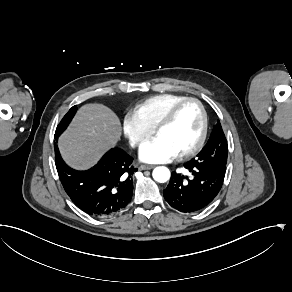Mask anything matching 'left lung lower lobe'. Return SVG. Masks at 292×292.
I'll list each match as a JSON object with an SVG mask.
<instances>
[{
	"label": "left lung lower lobe",
	"mask_w": 292,
	"mask_h": 292,
	"mask_svg": "<svg viewBox=\"0 0 292 292\" xmlns=\"http://www.w3.org/2000/svg\"><path fill=\"white\" fill-rule=\"evenodd\" d=\"M192 174L184 177L173 172L163 194L165 200L183 213L200 211L209 205L219 193L226 172V167H205L192 159L184 164Z\"/></svg>",
	"instance_id": "0a47b994"
}]
</instances>
